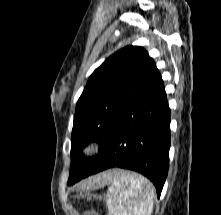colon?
Returning <instances> with one entry per match:
<instances>
[{
	"mask_svg": "<svg viewBox=\"0 0 221 215\" xmlns=\"http://www.w3.org/2000/svg\"><path fill=\"white\" fill-rule=\"evenodd\" d=\"M85 215H99L95 210H89L85 213Z\"/></svg>",
	"mask_w": 221,
	"mask_h": 215,
	"instance_id": "colon-1",
	"label": "colon"
}]
</instances>
